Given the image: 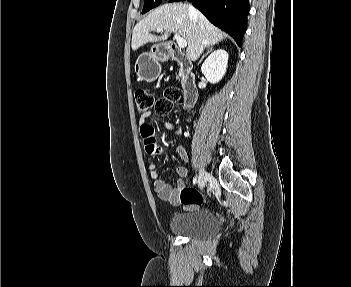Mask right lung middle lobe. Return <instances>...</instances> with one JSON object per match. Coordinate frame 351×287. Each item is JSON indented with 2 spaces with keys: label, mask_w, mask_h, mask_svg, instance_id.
Wrapping results in <instances>:
<instances>
[{
  "label": "right lung middle lobe",
  "mask_w": 351,
  "mask_h": 287,
  "mask_svg": "<svg viewBox=\"0 0 351 287\" xmlns=\"http://www.w3.org/2000/svg\"><path fill=\"white\" fill-rule=\"evenodd\" d=\"M160 4L159 0L153 1V0H147L144 3V7L142 10V14L148 12L149 10H151L152 8L157 7Z\"/></svg>",
  "instance_id": "obj_1"
}]
</instances>
